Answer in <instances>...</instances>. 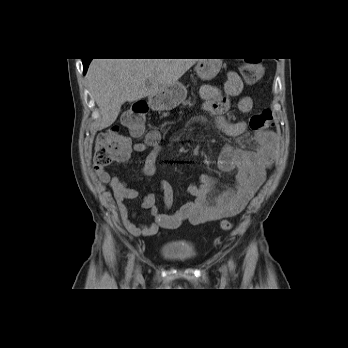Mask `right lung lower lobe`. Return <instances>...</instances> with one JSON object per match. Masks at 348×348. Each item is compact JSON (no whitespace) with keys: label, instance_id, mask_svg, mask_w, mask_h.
Here are the masks:
<instances>
[{"label":"right lung lower lobe","instance_id":"98d812e1","mask_svg":"<svg viewBox=\"0 0 348 348\" xmlns=\"http://www.w3.org/2000/svg\"><path fill=\"white\" fill-rule=\"evenodd\" d=\"M82 60H83V70H84V73H85L87 68H88V65H89L91 59H82Z\"/></svg>","mask_w":348,"mask_h":348}]
</instances>
